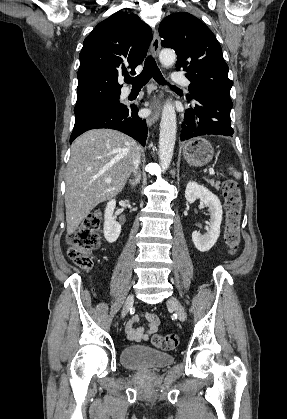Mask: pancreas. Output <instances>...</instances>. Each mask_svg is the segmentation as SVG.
I'll return each instance as SVG.
<instances>
[{
    "label": "pancreas",
    "mask_w": 287,
    "mask_h": 419,
    "mask_svg": "<svg viewBox=\"0 0 287 419\" xmlns=\"http://www.w3.org/2000/svg\"><path fill=\"white\" fill-rule=\"evenodd\" d=\"M208 183L211 185V186H213V187H215L216 189H219V185H220V183L219 182H214V180H208Z\"/></svg>",
    "instance_id": "obj_1"
}]
</instances>
